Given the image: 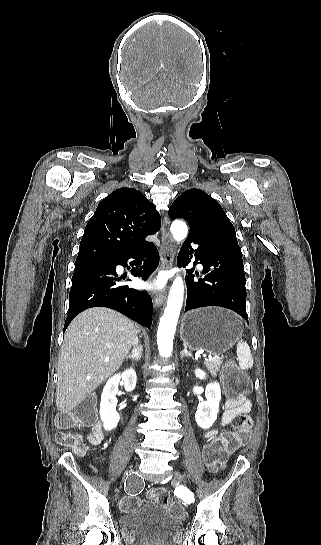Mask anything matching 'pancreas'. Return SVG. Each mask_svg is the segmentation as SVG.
<instances>
[{
    "instance_id": "obj_1",
    "label": "pancreas",
    "mask_w": 321,
    "mask_h": 545,
    "mask_svg": "<svg viewBox=\"0 0 321 545\" xmlns=\"http://www.w3.org/2000/svg\"><path fill=\"white\" fill-rule=\"evenodd\" d=\"M204 365L206 369H208L210 375L212 377H217L218 371H220V367L222 365L220 359H212V361H204Z\"/></svg>"
}]
</instances>
